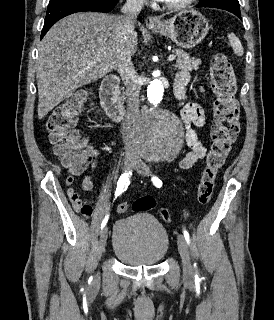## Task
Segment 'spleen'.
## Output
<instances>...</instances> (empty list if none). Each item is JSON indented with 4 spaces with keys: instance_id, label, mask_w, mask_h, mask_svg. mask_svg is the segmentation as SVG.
<instances>
[{
    "instance_id": "obj_1",
    "label": "spleen",
    "mask_w": 274,
    "mask_h": 320,
    "mask_svg": "<svg viewBox=\"0 0 274 320\" xmlns=\"http://www.w3.org/2000/svg\"><path fill=\"white\" fill-rule=\"evenodd\" d=\"M227 38L230 42V46H232V48H233L234 54H237V56H243L244 48H243L239 38H237V36H235V34H228Z\"/></svg>"
}]
</instances>
